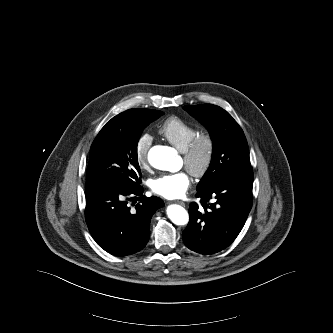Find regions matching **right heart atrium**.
<instances>
[{
	"instance_id": "1",
	"label": "right heart atrium",
	"mask_w": 333,
	"mask_h": 333,
	"mask_svg": "<svg viewBox=\"0 0 333 333\" xmlns=\"http://www.w3.org/2000/svg\"><path fill=\"white\" fill-rule=\"evenodd\" d=\"M151 143H152V137L147 133L140 135L135 142V147H134L135 158L137 163L143 168L146 167L148 163V152Z\"/></svg>"
}]
</instances>
